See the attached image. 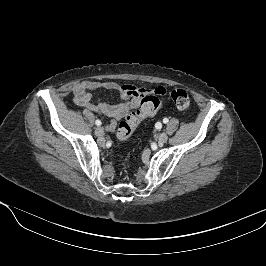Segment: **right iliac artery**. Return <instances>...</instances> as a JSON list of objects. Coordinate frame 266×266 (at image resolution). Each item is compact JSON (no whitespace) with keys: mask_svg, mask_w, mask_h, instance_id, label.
Instances as JSON below:
<instances>
[{"mask_svg":"<svg viewBox=\"0 0 266 266\" xmlns=\"http://www.w3.org/2000/svg\"><path fill=\"white\" fill-rule=\"evenodd\" d=\"M95 124H96L97 126H100V125L102 124V122H101L100 120H96V121H95Z\"/></svg>","mask_w":266,"mask_h":266,"instance_id":"82829eb1","label":"right iliac artery"}]
</instances>
